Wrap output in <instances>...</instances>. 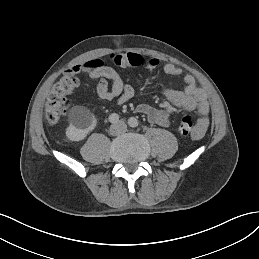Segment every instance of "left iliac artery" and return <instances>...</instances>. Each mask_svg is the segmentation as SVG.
I'll return each instance as SVG.
<instances>
[{
	"mask_svg": "<svg viewBox=\"0 0 259 259\" xmlns=\"http://www.w3.org/2000/svg\"><path fill=\"white\" fill-rule=\"evenodd\" d=\"M128 124H129L130 127L135 128V127H137V126L139 125V122H138V120H137L136 118L131 117V118L128 120Z\"/></svg>",
	"mask_w": 259,
	"mask_h": 259,
	"instance_id": "left-iliac-artery-1",
	"label": "left iliac artery"
}]
</instances>
